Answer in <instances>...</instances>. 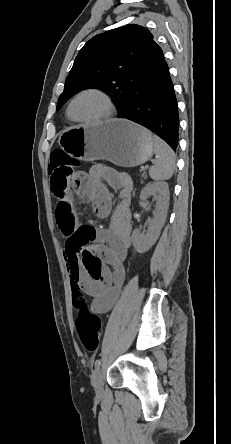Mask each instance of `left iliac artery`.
I'll return each instance as SVG.
<instances>
[{
  "mask_svg": "<svg viewBox=\"0 0 231 444\" xmlns=\"http://www.w3.org/2000/svg\"><path fill=\"white\" fill-rule=\"evenodd\" d=\"M100 364H101V360H100V359H97V360L95 361V368L98 369V368L100 367Z\"/></svg>",
  "mask_w": 231,
  "mask_h": 444,
  "instance_id": "obj_1",
  "label": "left iliac artery"
}]
</instances>
